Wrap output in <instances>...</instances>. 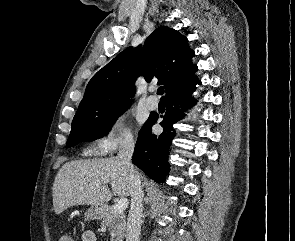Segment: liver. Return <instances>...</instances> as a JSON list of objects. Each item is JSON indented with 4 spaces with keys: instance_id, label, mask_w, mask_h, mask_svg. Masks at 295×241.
I'll return each instance as SVG.
<instances>
[{
    "instance_id": "obj_1",
    "label": "liver",
    "mask_w": 295,
    "mask_h": 241,
    "mask_svg": "<svg viewBox=\"0 0 295 241\" xmlns=\"http://www.w3.org/2000/svg\"><path fill=\"white\" fill-rule=\"evenodd\" d=\"M52 190L55 214H61L74 205H104L113 195L130 196L132 183L126 167L112 156L66 162L58 171Z\"/></svg>"
}]
</instances>
